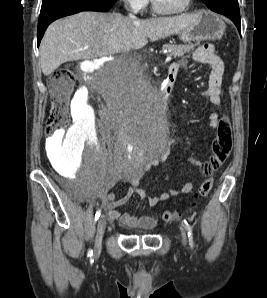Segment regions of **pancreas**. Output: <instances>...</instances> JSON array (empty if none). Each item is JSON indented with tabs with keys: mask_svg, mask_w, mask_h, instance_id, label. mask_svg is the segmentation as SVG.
Here are the masks:
<instances>
[{
	"mask_svg": "<svg viewBox=\"0 0 267 298\" xmlns=\"http://www.w3.org/2000/svg\"><path fill=\"white\" fill-rule=\"evenodd\" d=\"M192 49V45H163V50H171L170 55L174 57H182L185 53L190 52Z\"/></svg>",
	"mask_w": 267,
	"mask_h": 298,
	"instance_id": "1",
	"label": "pancreas"
}]
</instances>
